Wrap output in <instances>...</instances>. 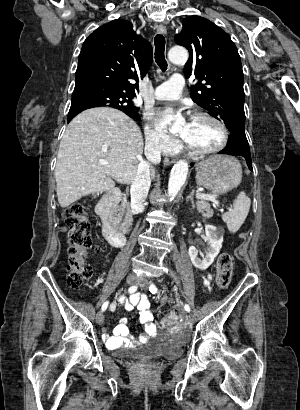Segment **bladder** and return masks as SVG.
Returning a JSON list of instances; mask_svg holds the SVG:
<instances>
[{"mask_svg": "<svg viewBox=\"0 0 300 410\" xmlns=\"http://www.w3.org/2000/svg\"><path fill=\"white\" fill-rule=\"evenodd\" d=\"M183 344L165 341L155 345H147L137 350L129 349L127 353L139 358L178 357L182 355Z\"/></svg>", "mask_w": 300, "mask_h": 410, "instance_id": "31cf9c89", "label": "bladder"}]
</instances>
